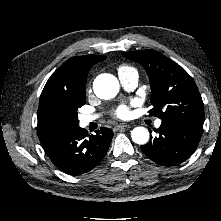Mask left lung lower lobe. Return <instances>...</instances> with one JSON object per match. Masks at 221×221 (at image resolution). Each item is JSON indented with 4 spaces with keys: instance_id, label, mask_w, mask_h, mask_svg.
I'll use <instances>...</instances> for the list:
<instances>
[{
    "instance_id": "left-lung-lower-lobe-1",
    "label": "left lung lower lobe",
    "mask_w": 221,
    "mask_h": 221,
    "mask_svg": "<svg viewBox=\"0 0 221 221\" xmlns=\"http://www.w3.org/2000/svg\"><path fill=\"white\" fill-rule=\"evenodd\" d=\"M203 130V122L186 119L162 121L159 137L141 146L144 154L152 161L173 166L184 162L195 151Z\"/></svg>"
}]
</instances>
